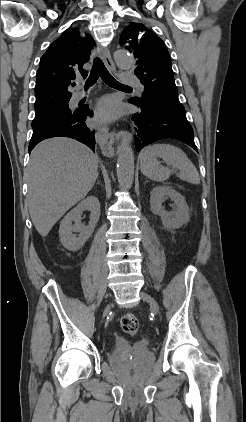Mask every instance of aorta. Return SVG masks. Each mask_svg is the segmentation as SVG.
I'll return each mask as SVG.
<instances>
[{
    "instance_id": "aorta-1",
    "label": "aorta",
    "mask_w": 246,
    "mask_h": 422,
    "mask_svg": "<svg viewBox=\"0 0 246 422\" xmlns=\"http://www.w3.org/2000/svg\"><path fill=\"white\" fill-rule=\"evenodd\" d=\"M115 62L122 70H128L133 66V57L125 51L115 53ZM117 178L122 188H130L134 179V153L131 146L125 143L117 159Z\"/></svg>"
}]
</instances>
